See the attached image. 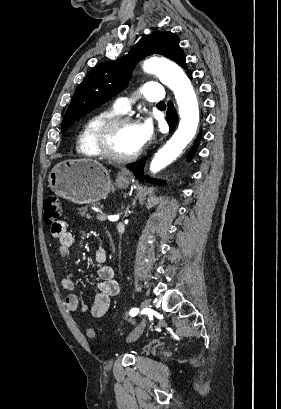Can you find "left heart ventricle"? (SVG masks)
<instances>
[{"label":"left heart ventricle","mask_w":281,"mask_h":409,"mask_svg":"<svg viewBox=\"0 0 281 409\" xmlns=\"http://www.w3.org/2000/svg\"><path fill=\"white\" fill-rule=\"evenodd\" d=\"M111 150L119 155L136 152L142 146L138 137L137 126H120L113 131L109 139Z\"/></svg>","instance_id":"left-heart-ventricle-1"}]
</instances>
